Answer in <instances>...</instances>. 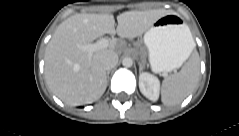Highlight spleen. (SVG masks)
<instances>
[{"instance_id": "spleen-1", "label": "spleen", "mask_w": 239, "mask_h": 136, "mask_svg": "<svg viewBox=\"0 0 239 136\" xmlns=\"http://www.w3.org/2000/svg\"><path fill=\"white\" fill-rule=\"evenodd\" d=\"M189 40L193 50L195 42L192 35H190ZM199 75L200 61L197 54H194L180 72L163 80L161 87V101L163 104L176 105L181 103L197 86Z\"/></svg>"}]
</instances>
